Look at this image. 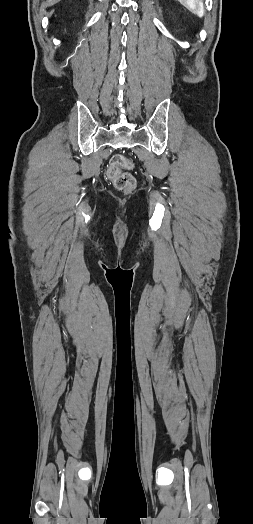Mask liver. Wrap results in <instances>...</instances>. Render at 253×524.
<instances>
[{
    "label": "liver",
    "instance_id": "6515ba94",
    "mask_svg": "<svg viewBox=\"0 0 253 524\" xmlns=\"http://www.w3.org/2000/svg\"><path fill=\"white\" fill-rule=\"evenodd\" d=\"M60 1L61 0H47L46 1V5L47 6H52V5H54V4H56V3L60 2Z\"/></svg>",
    "mask_w": 253,
    "mask_h": 524
}]
</instances>
